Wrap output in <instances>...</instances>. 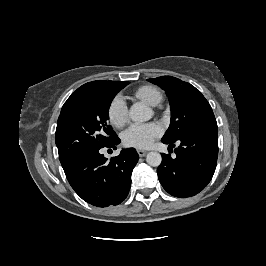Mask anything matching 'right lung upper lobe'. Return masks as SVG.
<instances>
[{
	"label": "right lung upper lobe",
	"instance_id": "cb5924a9",
	"mask_svg": "<svg viewBox=\"0 0 266 266\" xmlns=\"http://www.w3.org/2000/svg\"><path fill=\"white\" fill-rule=\"evenodd\" d=\"M104 80H99V81H92V82H88L84 85H82L81 87H79L72 95V96H76L79 94H83L85 92H88L89 90L97 87L98 85H100L101 83H103Z\"/></svg>",
	"mask_w": 266,
	"mask_h": 266
}]
</instances>
